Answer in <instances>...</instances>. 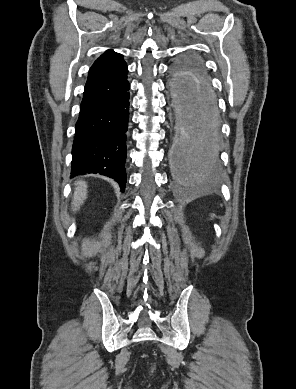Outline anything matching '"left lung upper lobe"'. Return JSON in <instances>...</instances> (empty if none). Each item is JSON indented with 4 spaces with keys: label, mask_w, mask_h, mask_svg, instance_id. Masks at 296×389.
I'll return each mask as SVG.
<instances>
[{
    "label": "left lung upper lobe",
    "mask_w": 296,
    "mask_h": 389,
    "mask_svg": "<svg viewBox=\"0 0 296 389\" xmlns=\"http://www.w3.org/2000/svg\"><path fill=\"white\" fill-rule=\"evenodd\" d=\"M172 71L174 74L173 85L180 90L195 88L197 76L208 78L202 61L193 54L180 56L174 63ZM182 96L186 104V115L193 125V112L185 96L183 94ZM207 128L208 126L206 125Z\"/></svg>",
    "instance_id": "5c2ea615"
}]
</instances>
